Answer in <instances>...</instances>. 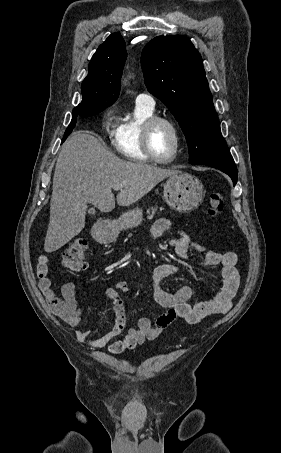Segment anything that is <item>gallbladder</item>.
I'll use <instances>...</instances> for the list:
<instances>
[{
	"label": "gallbladder",
	"instance_id": "1",
	"mask_svg": "<svg viewBox=\"0 0 281 453\" xmlns=\"http://www.w3.org/2000/svg\"><path fill=\"white\" fill-rule=\"evenodd\" d=\"M94 212H96L95 208H90L89 214H94Z\"/></svg>",
	"mask_w": 281,
	"mask_h": 453
}]
</instances>
